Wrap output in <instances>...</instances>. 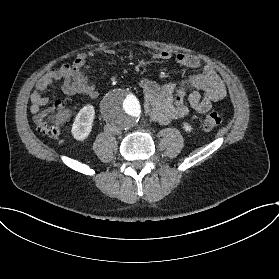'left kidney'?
I'll return each mask as SVG.
<instances>
[{
	"mask_svg": "<svg viewBox=\"0 0 279 279\" xmlns=\"http://www.w3.org/2000/svg\"><path fill=\"white\" fill-rule=\"evenodd\" d=\"M183 129H184L186 132H191L192 127H191V125H190L189 123L184 122V123H183Z\"/></svg>",
	"mask_w": 279,
	"mask_h": 279,
	"instance_id": "left-kidney-1",
	"label": "left kidney"
}]
</instances>
